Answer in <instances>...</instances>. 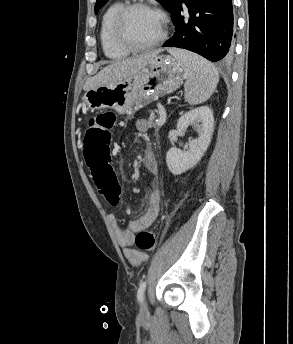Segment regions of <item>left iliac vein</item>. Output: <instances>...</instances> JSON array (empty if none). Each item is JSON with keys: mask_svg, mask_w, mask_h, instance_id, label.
<instances>
[{"mask_svg": "<svg viewBox=\"0 0 293 344\" xmlns=\"http://www.w3.org/2000/svg\"><path fill=\"white\" fill-rule=\"evenodd\" d=\"M148 314V307L146 301H143L140 308V316L145 317Z\"/></svg>", "mask_w": 293, "mask_h": 344, "instance_id": "left-iliac-vein-1", "label": "left iliac vein"}]
</instances>
